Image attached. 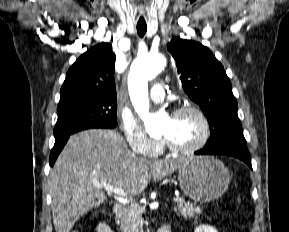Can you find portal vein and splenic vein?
Masks as SVG:
<instances>
[{
    "label": "portal vein and splenic vein",
    "instance_id": "portal-vein-and-splenic-vein-1",
    "mask_svg": "<svg viewBox=\"0 0 289 232\" xmlns=\"http://www.w3.org/2000/svg\"><path fill=\"white\" fill-rule=\"evenodd\" d=\"M94 186H96L98 188L105 189L106 191H108L110 193H114V194H116L122 198L123 197L127 198V193L120 187L112 186V185H109L106 183H94ZM129 199L132 200V197H130ZM173 201L177 202V203H182L185 200L180 198V197H176V198H173Z\"/></svg>",
    "mask_w": 289,
    "mask_h": 232
}]
</instances>
